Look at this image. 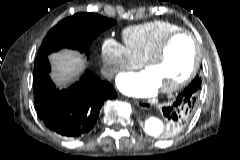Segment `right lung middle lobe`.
I'll return each mask as SVG.
<instances>
[{
  "label": "right lung middle lobe",
  "instance_id": "1",
  "mask_svg": "<svg viewBox=\"0 0 240 160\" xmlns=\"http://www.w3.org/2000/svg\"><path fill=\"white\" fill-rule=\"evenodd\" d=\"M115 23L94 13H78L65 18L47 33L35 61L61 48L77 49L88 57L92 41Z\"/></svg>",
  "mask_w": 240,
  "mask_h": 160
}]
</instances>
